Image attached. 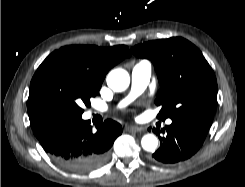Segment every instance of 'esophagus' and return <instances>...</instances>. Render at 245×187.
<instances>
[{
  "mask_svg": "<svg viewBox=\"0 0 245 187\" xmlns=\"http://www.w3.org/2000/svg\"><path fill=\"white\" fill-rule=\"evenodd\" d=\"M125 130L126 131H129V132H134V133H137V132H141L143 131V128L142 127H138V126H125Z\"/></svg>",
  "mask_w": 245,
  "mask_h": 187,
  "instance_id": "1",
  "label": "esophagus"
}]
</instances>
